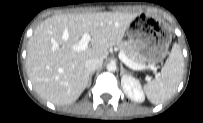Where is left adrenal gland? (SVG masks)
<instances>
[{"mask_svg": "<svg viewBox=\"0 0 203 123\" xmlns=\"http://www.w3.org/2000/svg\"><path fill=\"white\" fill-rule=\"evenodd\" d=\"M126 72L125 68L123 67V64L120 63V75H123Z\"/></svg>", "mask_w": 203, "mask_h": 123, "instance_id": "left-adrenal-gland-1", "label": "left adrenal gland"}]
</instances>
